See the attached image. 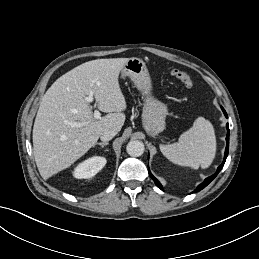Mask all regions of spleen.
<instances>
[{"label": "spleen", "mask_w": 259, "mask_h": 259, "mask_svg": "<svg viewBox=\"0 0 259 259\" xmlns=\"http://www.w3.org/2000/svg\"><path fill=\"white\" fill-rule=\"evenodd\" d=\"M162 154L172 163L193 169L207 168L216 154V138L212 124L198 117L193 126L181 134L178 142L160 145Z\"/></svg>", "instance_id": "spleen-1"}]
</instances>
